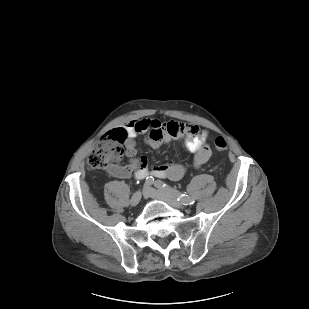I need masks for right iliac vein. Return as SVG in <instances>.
Instances as JSON below:
<instances>
[{"mask_svg":"<svg viewBox=\"0 0 309 309\" xmlns=\"http://www.w3.org/2000/svg\"><path fill=\"white\" fill-rule=\"evenodd\" d=\"M141 198H142V193L139 192V191L135 192V193L132 195L131 199H130V205H131V206H136V205H138V203L140 202Z\"/></svg>","mask_w":309,"mask_h":309,"instance_id":"1","label":"right iliac vein"}]
</instances>
